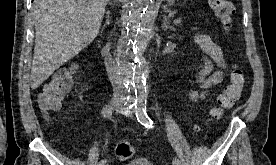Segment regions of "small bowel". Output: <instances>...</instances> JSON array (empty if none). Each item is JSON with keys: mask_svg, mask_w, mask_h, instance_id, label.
I'll return each instance as SVG.
<instances>
[{"mask_svg": "<svg viewBox=\"0 0 276 165\" xmlns=\"http://www.w3.org/2000/svg\"><path fill=\"white\" fill-rule=\"evenodd\" d=\"M195 42L204 54L203 64L197 73V81L201 91H191L187 97L192 102L203 100L208 95V90L221 83L224 79L226 61L220 46L214 43L209 36L198 34Z\"/></svg>", "mask_w": 276, "mask_h": 165, "instance_id": "obj_1", "label": "small bowel"}]
</instances>
